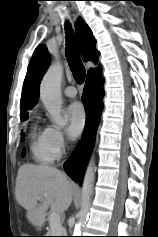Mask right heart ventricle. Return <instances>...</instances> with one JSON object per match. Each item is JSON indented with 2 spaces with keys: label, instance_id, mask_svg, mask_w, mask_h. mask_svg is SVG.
<instances>
[{
  "label": "right heart ventricle",
  "instance_id": "e07e8e85",
  "mask_svg": "<svg viewBox=\"0 0 158 237\" xmlns=\"http://www.w3.org/2000/svg\"><path fill=\"white\" fill-rule=\"evenodd\" d=\"M30 150L34 160L41 164H50L55 159L47 143L46 129L34 123L29 133Z\"/></svg>",
  "mask_w": 158,
  "mask_h": 237
}]
</instances>
